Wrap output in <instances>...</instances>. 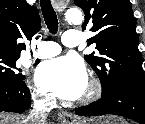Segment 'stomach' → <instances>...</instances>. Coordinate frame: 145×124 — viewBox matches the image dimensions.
<instances>
[{
  "label": "stomach",
  "mask_w": 145,
  "mask_h": 124,
  "mask_svg": "<svg viewBox=\"0 0 145 124\" xmlns=\"http://www.w3.org/2000/svg\"><path fill=\"white\" fill-rule=\"evenodd\" d=\"M69 124H123V121L119 118L108 116V117H100L95 120L93 119H84L81 121H73Z\"/></svg>",
  "instance_id": "stomach-1"
}]
</instances>
